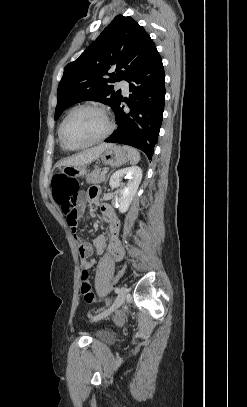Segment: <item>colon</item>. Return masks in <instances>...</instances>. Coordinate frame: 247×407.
Returning a JSON list of instances; mask_svg holds the SVG:
<instances>
[{
  "mask_svg": "<svg viewBox=\"0 0 247 407\" xmlns=\"http://www.w3.org/2000/svg\"><path fill=\"white\" fill-rule=\"evenodd\" d=\"M79 190V183L64 174H57L52 179L53 198L57 203L65 202L74 197ZM80 292L88 303L97 302L90 283L89 271L84 269L81 276Z\"/></svg>",
  "mask_w": 247,
  "mask_h": 407,
  "instance_id": "1",
  "label": "colon"
}]
</instances>
